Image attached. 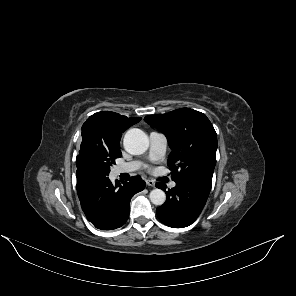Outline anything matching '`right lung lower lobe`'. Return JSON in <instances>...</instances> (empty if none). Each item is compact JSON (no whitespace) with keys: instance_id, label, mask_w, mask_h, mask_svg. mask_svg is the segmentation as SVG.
<instances>
[{"instance_id":"98d812e1","label":"right lung lower lobe","mask_w":296,"mask_h":296,"mask_svg":"<svg viewBox=\"0 0 296 296\" xmlns=\"http://www.w3.org/2000/svg\"><path fill=\"white\" fill-rule=\"evenodd\" d=\"M77 194L87 219L98 229L113 230L124 225L132 196L145 188V181L133 176L129 182L109 180L90 158L77 156Z\"/></svg>"}]
</instances>
